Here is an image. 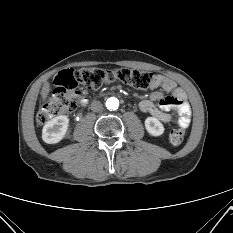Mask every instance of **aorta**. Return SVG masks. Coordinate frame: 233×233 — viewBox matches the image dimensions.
Segmentation results:
<instances>
[{"mask_svg":"<svg viewBox=\"0 0 233 233\" xmlns=\"http://www.w3.org/2000/svg\"><path fill=\"white\" fill-rule=\"evenodd\" d=\"M106 107L109 110H116L119 107V100L115 97H110L106 101Z\"/></svg>","mask_w":233,"mask_h":233,"instance_id":"obj_1","label":"aorta"}]
</instances>
